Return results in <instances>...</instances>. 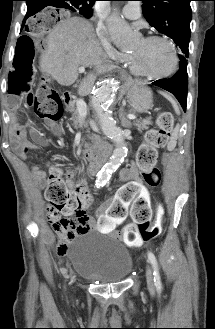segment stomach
I'll list each match as a JSON object with an SVG mask.
<instances>
[{
    "mask_svg": "<svg viewBox=\"0 0 215 329\" xmlns=\"http://www.w3.org/2000/svg\"><path fill=\"white\" fill-rule=\"evenodd\" d=\"M127 97L133 112L143 113L153 107L152 91L140 83L127 85Z\"/></svg>",
    "mask_w": 215,
    "mask_h": 329,
    "instance_id": "1",
    "label": "stomach"
}]
</instances>
